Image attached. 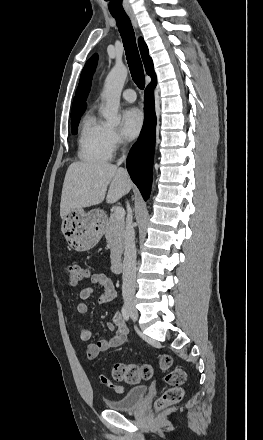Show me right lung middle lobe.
I'll return each mask as SVG.
<instances>
[{
	"label": "right lung middle lobe",
	"mask_w": 263,
	"mask_h": 440,
	"mask_svg": "<svg viewBox=\"0 0 263 440\" xmlns=\"http://www.w3.org/2000/svg\"><path fill=\"white\" fill-rule=\"evenodd\" d=\"M81 115L82 114L77 115L75 117H72V121H71V131H72V134H76L77 133L78 123H79Z\"/></svg>",
	"instance_id": "obj_1"
}]
</instances>
